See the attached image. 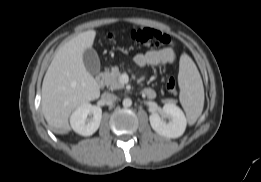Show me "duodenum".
Segmentation results:
<instances>
[{"instance_id": "1", "label": "duodenum", "mask_w": 261, "mask_h": 182, "mask_svg": "<svg viewBox=\"0 0 261 182\" xmlns=\"http://www.w3.org/2000/svg\"><path fill=\"white\" fill-rule=\"evenodd\" d=\"M96 83L99 87H102L103 86V83H104V80H103V77L101 75H98L97 78H96ZM142 93L149 97V96H152L153 95V91L151 89H144L142 91Z\"/></svg>"}]
</instances>
